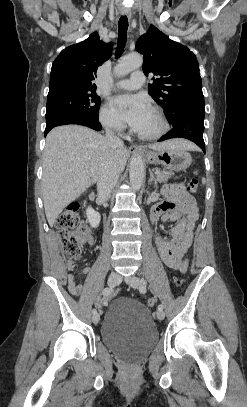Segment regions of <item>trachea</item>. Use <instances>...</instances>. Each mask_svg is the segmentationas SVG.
Returning a JSON list of instances; mask_svg holds the SVG:
<instances>
[{"label": "trachea", "instance_id": "1", "mask_svg": "<svg viewBox=\"0 0 247 407\" xmlns=\"http://www.w3.org/2000/svg\"><path fill=\"white\" fill-rule=\"evenodd\" d=\"M127 30H128V19L127 16H121L118 22V32H119V38H118V44H117V50H116V58H118L122 50L125 47L126 40H127Z\"/></svg>", "mask_w": 247, "mask_h": 407}]
</instances>
